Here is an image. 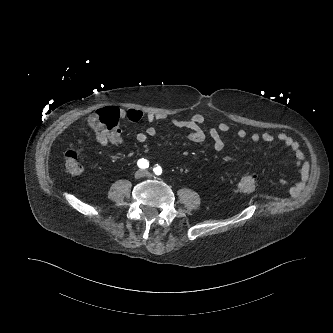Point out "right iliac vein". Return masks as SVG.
Masks as SVG:
<instances>
[{"label":"right iliac vein","instance_id":"1","mask_svg":"<svg viewBox=\"0 0 333 333\" xmlns=\"http://www.w3.org/2000/svg\"><path fill=\"white\" fill-rule=\"evenodd\" d=\"M134 176L137 179L142 178L144 176V171L143 170H138V171L135 172Z\"/></svg>","mask_w":333,"mask_h":333}]
</instances>
